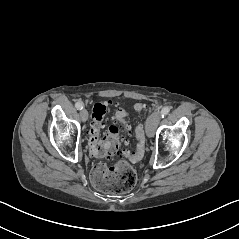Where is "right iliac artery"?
Listing matches in <instances>:
<instances>
[{"mask_svg": "<svg viewBox=\"0 0 239 239\" xmlns=\"http://www.w3.org/2000/svg\"><path fill=\"white\" fill-rule=\"evenodd\" d=\"M75 107H76L78 110H82V109H83V103H82V102H76Z\"/></svg>", "mask_w": 239, "mask_h": 239, "instance_id": "82829eb1", "label": "right iliac artery"}]
</instances>
